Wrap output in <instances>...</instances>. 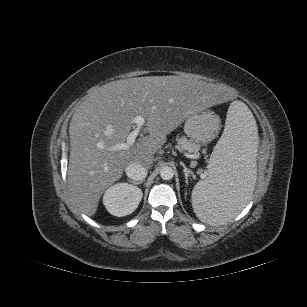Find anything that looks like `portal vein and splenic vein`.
<instances>
[{
  "mask_svg": "<svg viewBox=\"0 0 307 307\" xmlns=\"http://www.w3.org/2000/svg\"><path fill=\"white\" fill-rule=\"evenodd\" d=\"M134 123H135V128L127 136L126 142L114 145L110 148V150H122V149L126 150L135 143V139L138 137L141 129L145 124V119L141 115H138L134 118ZM100 147L102 146L100 145Z\"/></svg>",
  "mask_w": 307,
  "mask_h": 307,
  "instance_id": "18ae733b",
  "label": "portal vein and splenic vein"
}]
</instances>
